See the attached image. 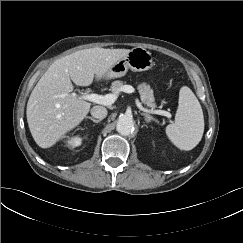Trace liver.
<instances>
[{
    "mask_svg": "<svg viewBox=\"0 0 243 243\" xmlns=\"http://www.w3.org/2000/svg\"><path fill=\"white\" fill-rule=\"evenodd\" d=\"M129 51L84 49L50 65L32 90L26 109L28 126L38 146H53L88 114L91 104L72 95V82L78 86L91 85L94 78L104 77Z\"/></svg>",
    "mask_w": 243,
    "mask_h": 243,
    "instance_id": "6515ba94",
    "label": "liver"
}]
</instances>
